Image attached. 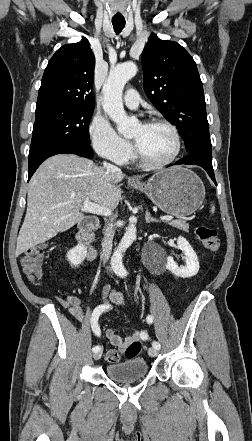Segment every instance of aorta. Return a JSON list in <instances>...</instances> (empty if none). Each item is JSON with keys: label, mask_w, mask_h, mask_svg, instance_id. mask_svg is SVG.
Returning <instances> with one entry per match:
<instances>
[{"label": "aorta", "mask_w": 252, "mask_h": 441, "mask_svg": "<svg viewBox=\"0 0 252 441\" xmlns=\"http://www.w3.org/2000/svg\"><path fill=\"white\" fill-rule=\"evenodd\" d=\"M137 66L133 62H126L111 69L107 81L103 86V109L112 121L117 125L118 132L123 136H129L132 129L137 125L136 118L127 116L122 101L125 84L136 75ZM136 218L131 217L126 233L122 237L118 247L111 258V267L119 276H125L127 271L123 265V255L126 249L136 238Z\"/></svg>", "instance_id": "1"}]
</instances>
